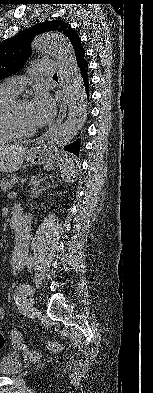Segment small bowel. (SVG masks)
I'll return each mask as SVG.
<instances>
[{
	"label": "small bowel",
	"instance_id": "1",
	"mask_svg": "<svg viewBox=\"0 0 153 393\" xmlns=\"http://www.w3.org/2000/svg\"><path fill=\"white\" fill-rule=\"evenodd\" d=\"M3 316H4V309L0 307V320L3 318Z\"/></svg>",
	"mask_w": 153,
	"mask_h": 393
}]
</instances>
